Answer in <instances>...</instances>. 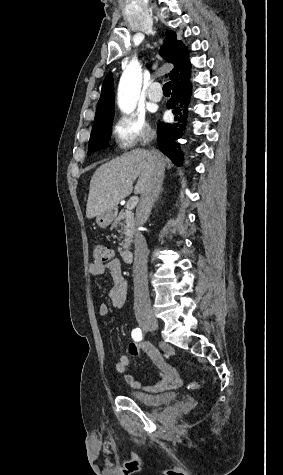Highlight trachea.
Instances as JSON below:
<instances>
[{
	"mask_svg": "<svg viewBox=\"0 0 283 475\" xmlns=\"http://www.w3.org/2000/svg\"><path fill=\"white\" fill-rule=\"evenodd\" d=\"M163 92H171V82H167L163 85Z\"/></svg>",
	"mask_w": 283,
	"mask_h": 475,
	"instance_id": "trachea-1",
	"label": "trachea"
}]
</instances>
